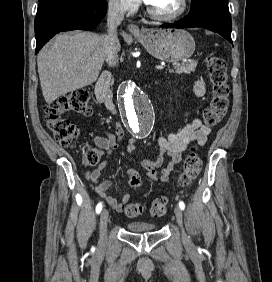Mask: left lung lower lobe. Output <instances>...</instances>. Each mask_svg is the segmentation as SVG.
Masks as SVG:
<instances>
[{"label":"left lung lower lobe","mask_w":272,"mask_h":282,"mask_svg":"<svg viewBox=\"0 0 272 282\" xmlns=\"http://www.w3.org/2000/svg\"><path fill=\"white\" fill-rule=\"evenodd\" d=\"M161 27H202L219 33L232 43L228 0H192L190 12L184 19L173 24H163Z\"/></svg>","instance_id":"obj_1"}]
</instances>
